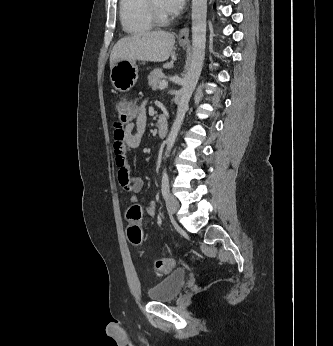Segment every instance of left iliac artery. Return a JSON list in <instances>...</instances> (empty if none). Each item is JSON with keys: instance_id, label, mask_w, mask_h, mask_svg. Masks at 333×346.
I'll list each match as a JSON object with an SVG mask.
<instances>
[{"instance_id": "44dca946", "label": "left iliac artery", "mask_w": 333, "mask_h": 346, "mask_svg": "<svg viewBox=\"0 0 333 346\" xmlns=\"http://www.w3.org/2000/svg\"><path fill=\"white\" fill-rule=\"evenodd\" d=\"M169 177L167 174V171H163V176H162V184H161V189H162V195L166 199L169 195Z\"/></svg>"}]
</instances>
